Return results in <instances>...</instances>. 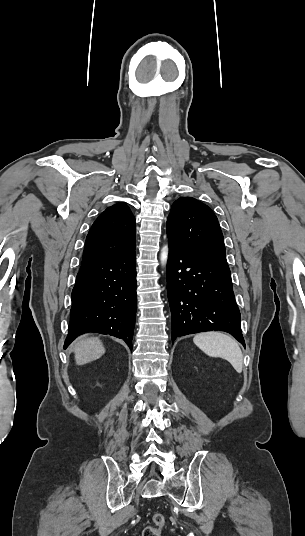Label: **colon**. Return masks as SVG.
<instances>
[{
  "label": "colon",
  "mask_w": 305,
  "mask_h": 536,
  "mask_svg": "<svg viewBox=\"0 0 305 536\" xmlns=\"http://www.w3.org/2000/svg\"><path fill=\"white\" fill-rule=\"evenodd\" d=\"M152 525L147 526L142 533V536H162L166 517L163 514L155 513L151 516Z\"/></svg>",
  "instance_id": "1"
}]
</instances>
